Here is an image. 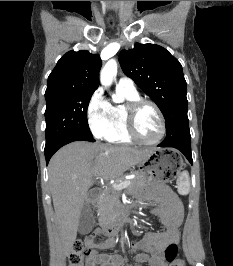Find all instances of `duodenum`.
I'll use <instances>...</instances> for the list:
<instances>
[{
  "label": "duodenum",
  "instance_id": "duodenum-1",
  "mask_svg": "<svg viewBox=\"0 0 233 266\" xmlns=\"http://www.w3.org/2000/svg\"><path fill=\"white\" fill-rule=\"evenodd\" d=\"M91 198L93 201H98L100 198V191L99 190H93L91 193ZM130 215V210L128 208H122L117 216V218L106 224L104 227V233L113 236L116 234L119 229L122 227V225L127 221Z\"/></svg>",
  "mask_w": 233,
  "mask_h": 266
}]
</instances>
